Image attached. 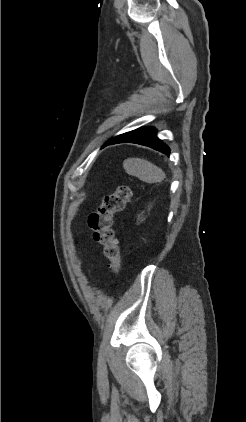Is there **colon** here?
<instances>
[{
    "instance_id": "obj_1",
    "label": "colon",
    "mask_w": 246,
    "mask_h": 422,
    "mask_svg": "<svg viewBox=\"0 0 246 422\" xmlns=\"http://www.w3.org/2000/svg\"><path fill=\"white\" fill-rule=\"evenodd\" d=\"M131 195L129 186L120 185L113 193L107 194L97 210L88 217V226L93 232V239L104 247L105 256L116 274L121 272L123 264L120 245L112 229L113 217L125 207Z\"/></svg>"
}]
</instances>
